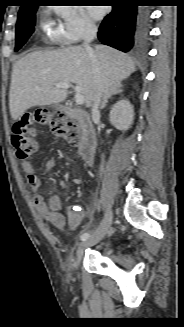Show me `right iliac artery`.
Here are the masks:
<instances>
[{"label": "right iliac artery", "mask_w": 184, "mask_h": 327, "mask_svg": "<svg viewBox=\"0 0 184 327\" xmlns=\"http://www.w3.org/2000/svg\"><path fill=\"white\" fill-rule=\"evenodd\" d=\"M89 236H90V234L88 232H85L80 236V239L82 241H85L87 238H89Z\"/></svg>", "instance_id": "1"}]
</instances>
